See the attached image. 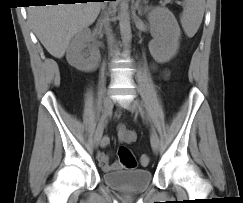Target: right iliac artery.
<instances>
[{"instance_id": "obj_1", "label": "right iliac artery", "mask_w": 243, "mask_h": 203, "mask_svg": "<svg viewBox=\"0 0 243 203\" xmlns=\"http://www.w3.org/2000/svg\"><path fill=\"white\" fill-rule=\"evenodd\" d=\"M105 118H106V117H105L104 115L101 117V119H100V122H99V124H98L97 129H98L99 127H101V126H102V124H103V122H104Z\"/></svg>"}]
</instances>
